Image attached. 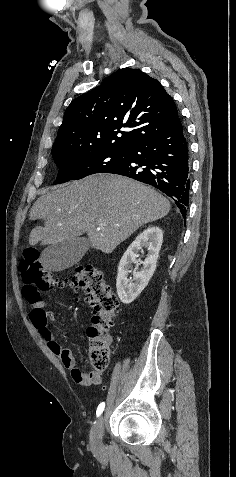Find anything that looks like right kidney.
<instances>
[{"instance_id":"obj_1","label":"right kidney","mask_w":236,"mask_h":477,"mask_svg":"<svg viewBox=\"0 0 236 477\" xmlns=\"http://www.w3.org/2000/svg\"><path fill=\"white\" fill-rule=\"evenodd\" d=\"M162 242V230L157 226H151L132 242L122 256L118 266L116 282L117 293L122 303L129 304L133 302L147 286L156 269ZM143 247L147 248V256L144 261L137 262L139 252L142 251ZM132 263H136L137 266L142 264L139 271L134 270L133 272L134 281L128 279Z\"/></svg>"}]
</instances>
